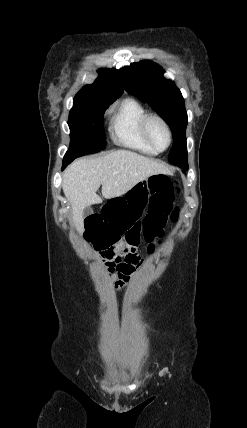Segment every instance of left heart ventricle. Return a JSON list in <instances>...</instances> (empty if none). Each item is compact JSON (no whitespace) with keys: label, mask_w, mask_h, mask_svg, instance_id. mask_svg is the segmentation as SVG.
<instances>
[{"label":"left heart ventricle","mask_w":247,"mask_h":428,"mask_svg":"<svg viewBox=\"0 0 247 428\" xmlns=\"http://www.w3.org/2000/svg\"><path fill=\"white\" fill-rule=\"evenodd\" d=\"M150 135L158 148H165L168 144V135L164 127L159 122H152L150 125Z\"/></svg>","instance_id":"obj_1"}]
</instances>
